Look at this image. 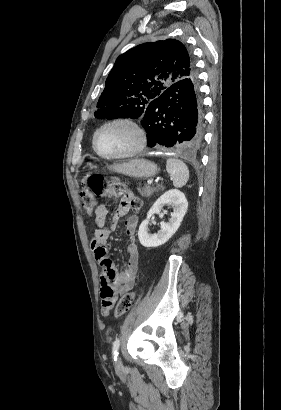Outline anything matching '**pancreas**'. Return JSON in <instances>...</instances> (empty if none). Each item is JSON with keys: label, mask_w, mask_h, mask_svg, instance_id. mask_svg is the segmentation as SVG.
<instances>
[{"label": "pancreas", "mask_w": 281, "mask_h": 410, "mask_svg": "<svg viewBox=\"0 0 281 410\" xmlns=\"http://www.w3.org/2000/svg\"><path fill=\"white\" fill-rule=\"evenodd\" d=\"M160 190L159 187L154 188V187H150V186H144V187H138V191L141 194V196L144 197H150L153 193L158 192Z\"/></svg>", "instance_id": "pancreas-1"}]
</instances>
